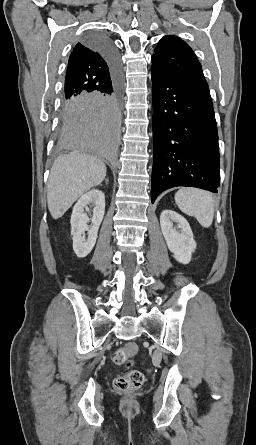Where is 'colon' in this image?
<instances>
[{"mask_svg":"<svg viewBox=\"0 0 256 445\" xmlns=\"http://www.w3.org/2000/svg\"><path fill=\"white\" fill-rule=\"evenodd\" d=\"M137 351L138 348L135 344L127 343L115 352L113 361L118 365L129 367L131 365V359L137 354ZM143 382V373L138 370H131L116 377L114 387L120 392L129 393L140 388Z\"/></svg>","mask_w":256,"mask_h":445,"instance_id":"colon-1","label":"colon"}]
</instances>
